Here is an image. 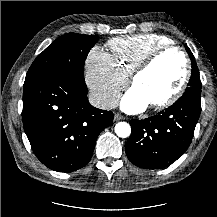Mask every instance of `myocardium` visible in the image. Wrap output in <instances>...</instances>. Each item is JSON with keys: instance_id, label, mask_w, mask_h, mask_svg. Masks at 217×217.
Wrapping results in <instances>:
<instances>
[{"instance_id": "obj_1", "label": "myocardium", "mask_w": 217, "mask_h": 217, "mask_svg": "<svg viewBox=\"0 0 217 217\" xmlns=\"http://www.w3.org/2000/svg\"><path fill=\"white\" fill-rule=\"evenodd\" d=\"M170 52H177L183 58L185 66L184 75L178 88L170 96L160 101L150 103V106L154 109H163L172 105L186 92L191 78V61L186 51L182 47L172 44L160 47L142 61L130 75V85L133 87L139 76L146 72L161 56Z\"/></svg>"}]
</instances>
